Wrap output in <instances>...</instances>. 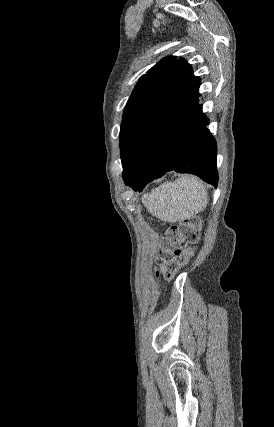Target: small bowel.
Returning <instances> with one entry per match:
<instances>
[{"mask_svg":"<svg viewBox=\"0 0 274 427\" xmlns=\"http://www.w3.org/2000/svg\"><path fill=\"white\" fill-rule=\"evenodd\" d=\"M162 253L164 256H170V257L182 256L183 250L181 249L180 251H163ZM158 268L159 269L155 271V276L157 278H160V281L162 284H169L171 281V277L173 278L177 274L175 270H183L185 268V263L183 261H175L173 263V268L175 270L173 269L171 270V269H168L169 268L168 261H159Z\"/></svg>","mask_w":274,"mask_h":427,"instance_id":"1","label":"small bowel"}]
</instances>
